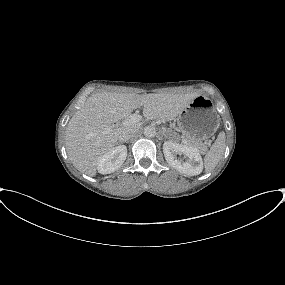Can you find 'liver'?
<instances>
[{
    "label": "liver",
    "instance_id": "1",
    "mask_svg": "<svg viewBox=\"0 0 285 285\" xmlns=\"http://www.w3.org/2000/svg\"><path fill=\"white\" fill-rule=\"evenodd\" d=\"M197 96L198 93L92 94L67 125V155L77 170L95 176L98 159L117 145L119 131L125 127L138 130L141 125L137 122L116 127L114 122L128 118L134 109L141 106L147 120L171 121Z\"/></svg>",
    "mask_w": 285,
    "mask_h": 285
}]
</instances>
